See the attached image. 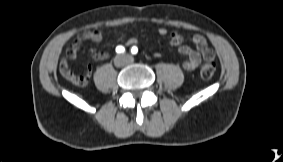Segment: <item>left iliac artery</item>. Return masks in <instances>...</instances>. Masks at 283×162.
Masks as SVG:
<instances>
[{"instance_id":"left-iliac-artery-1","label":"left iliac artery","mask_w":283,"mask_h":162,"mask_svg":"<svg viewBox=\"0 0 283 162\" xmlns=\"http://www.w3.org/2000/svg\"><path fill=\"white\" fill-rule=\"evenodd\" d=\"M137 52H138V48L136 46H133L131 48V53L135 55V54H137Z\"/></svg>"}]
</instances>
